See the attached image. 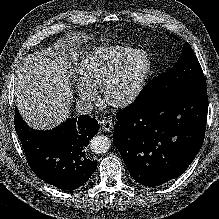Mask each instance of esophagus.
<instances>
[{
    "label": "esophagus",
    "mask_w": 219,
    "mask_h": 219,
    "mask_svg": "<svg viewBox=\"0 0 219 219\" xmlns=\"http://www.w3.org/2000/svg\"><path fill=\"white\" fill-rule=\"evenodd\" d=\"M101 130L103 131H111L113 129L112 120L102 119L99 121Z\"/></svg>",
    "instance_id": "esophagus-1"
}]
</instances>
